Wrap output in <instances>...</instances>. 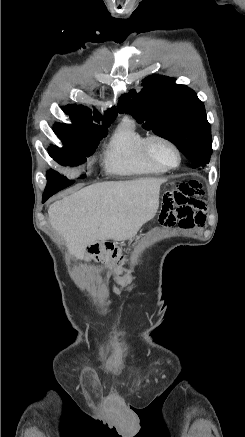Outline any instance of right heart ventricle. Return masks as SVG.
I'll use <instances>...</instances> for the list:
<instances>
[{
    "label": "right heart ventricle",
    "instance_id": "obj_1",
    "mask_svg": "<svg viewBox=\"0 0 245 437\" xmlns=\"http://www.w3.org/2000/svg\"><path fill=\"white\" fill-rule=\"evenodd\" d=\"M144 139L145 135L132 119H123L109 142L104 161L106 168L118 175L163 174L166 169L145 156L142 149Z\"/></svg>",
    "mask_w": 245,
    "mask_h": 437
}]
</instances>
